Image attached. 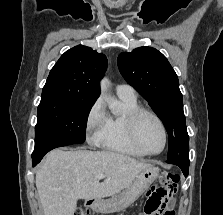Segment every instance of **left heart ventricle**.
Returning a JSON list of instances; mask_svg holds the SVG:
<instances>
[{"mask_svg":"<svg viewBox=\"0 0 223 215\" xmlns=\"http://www.w3.org/2000/svg\"><path fill=\"white\" fill-rule=\"evenodd\" d=\"M137 141L144 152H156L162 145L161 130L154 119L144 116L137 127Z\"/></svg>","mask_w":223,"mask_h":215,"instance_id":"obj_1","label":"left heart ventricle"}]
</instances>
